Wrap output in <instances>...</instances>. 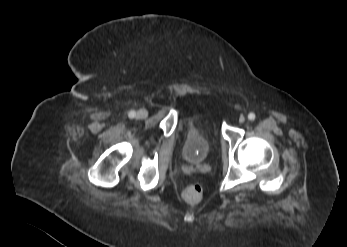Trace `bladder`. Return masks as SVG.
Instances as JSON below:
<instances>
[{
    "mask_svg": "<svg viewBox=\"0 0 347 247\" xmlns=\"http://www.w3.org/2000/svg\"><path fill=\"white\" fill-rule=\"evenodd\" d=\"M182 155L191 164L203 163L217 142L218 123L206 111L192 112L183 119Z\"/></svg>",
    "mask_w": 347,
    "mask_h": 247,
    "instance_id": "31cf9c89",
    "label": "bladder"
}]
</instances>
